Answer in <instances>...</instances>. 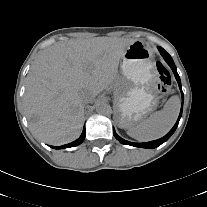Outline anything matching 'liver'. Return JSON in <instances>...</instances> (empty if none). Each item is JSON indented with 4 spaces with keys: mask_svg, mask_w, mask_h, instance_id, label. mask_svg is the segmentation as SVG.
Returning <instances> with one entry per match:
<instances>
[{
    "mask_svg": "<svg viewBox=\"0 0 207 207\" xmlns=\"http://www.w3.org/2000/svg\"><path fill=\"white\" fill-rule=\"evenodd\" d=\"M133 39L95 37L56 43L44 50L28 74L24 105L31 131L51 145L80 135L83 91L95 97L112 85L119 61Z\"/></svg>",
    "mask_w": 207,
    "mask_h": 207,
    "instance_id": "obj_1",
    "label": "liver"
}]
</instances>
